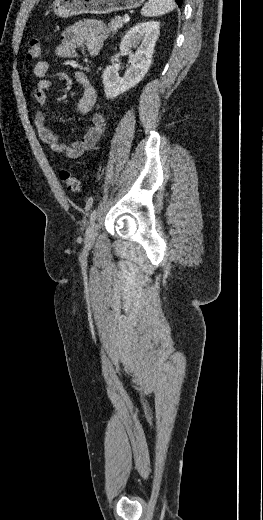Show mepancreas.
Masks as SVG:
<instances>
[{"instance_id":"pancreas-1","label":"pancreas","mask_w":263,"mask_h":520,"mask_svg":"<svg viewBox=\"0 0 263 520\" xmlns=\"http://www.w3.org/2000/svg\"><path fill=\"white\" fill-rule=\"evenodd\" d=\"M127 23L123 20L122 17H114L111 19V22L108 24V29L112 33H116L118 29L122 28L123 24Z\"/></svg>"}]
</instances>
